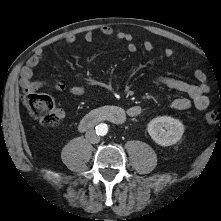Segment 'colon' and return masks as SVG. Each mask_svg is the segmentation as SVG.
Here are the masks:
<instances>
[{"label": "colon", "mask_w": 221, "mask_h": 221, "mask_svg": "<svg viewBox=\"0 0 221 221\" xmlns=\"http://www.w3.org/2000/svg\"><path fill=\"white\" fill-rule=\"evenodd\" d=\"M22 103L26 110L43 126H54L60 121L54 102L47 95L25 94ZM204 119L207 124L215 125L221 122V115L215 110H209L205 113Z\"/></svg>", "instance_id": "colon-1"}]
</instances>
